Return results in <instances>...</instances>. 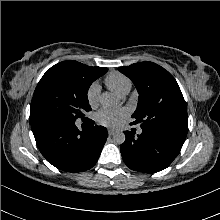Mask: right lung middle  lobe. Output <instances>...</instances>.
<instances>
[{
  "label": "right lung middle lobe",
  "mask_w": 220,
  "mask_h": 220,
  "mask_svg": "<svg viewBox=\"0 0 220 220\" xmlns=\"http://www.w3.org/2000/svg\"><path fill=\"white\" fill-rule=\"evenodd\" d=\"M107 68L90 67L77 61H63L48 69L39 81L30 114H42L75 122L90 111L87 92Z\"/></svg>",
  "instance_id": "obj_1"
}]
</instances>
